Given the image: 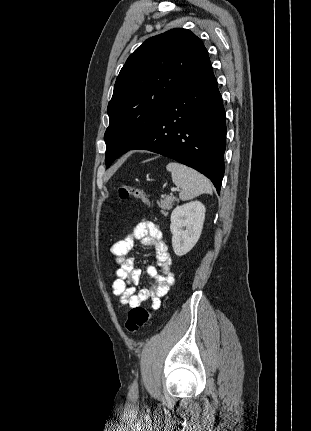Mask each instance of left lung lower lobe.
<instances>
[{
	"mask_svg": "<svg viewBox=\"0 0 311 431\" xmlns=\"http://www.w3.org/2000/svg\"><path fill=\"white\" fill-rule=\"evenodd\" d=\"M225 139V110L207 55L131 150L153 151L192 167L220 194Z\"/></svg>",
	"mask_w": 311,
	"mask_h": 431,
	"instance_id": "0a47b994",
	"label": "left lung lower lobe"
}]
</instances>
